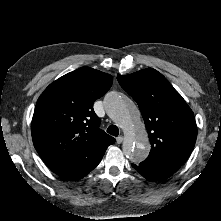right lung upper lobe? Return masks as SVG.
<instances>
[{
  "mask_svg": "<svg viewBox=\"0 0 221 221\" xmlns=\"http://www.w3.org/2000/svg\"><path fill=\"white\" fill-rule=\"evenodd\" d=\"M111 75L89 67L70 72L39 97L31 124L34 146L45 163L115 139L99 129L93 103L111 87Z\"/></svg>",
  "mask_w": 221,
  "mask_h": 221,
  "instance_id": "right-lung-upper-lobe-1",
  "label": "right lung upper lobe"
}]
</instances>
